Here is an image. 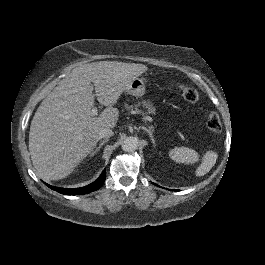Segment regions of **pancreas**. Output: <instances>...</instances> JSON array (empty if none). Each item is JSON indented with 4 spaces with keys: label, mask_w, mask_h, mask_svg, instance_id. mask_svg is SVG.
<instances>
[{
    "label": "pancreas",
    "mask_w": 265,
    "mask_h": 265,
    "mask_svg": "<svg viewBox=\"0 0 265 265\" xmlns=\"http://www.w3.org/2000/svg\"><path fill=\"white\" fill-rule=\"evenodd\" d=\"M143 107V109H146L145 114H155V107L153 106V104L147 100H143L142 102H138L137 104L133 105H128V104H124L125 109L130 110L131 113H143V110H140V107Z\"/></svg>",
    "instance_id": "pancreas-1"
}]
</instances>
